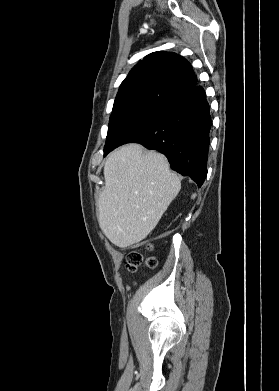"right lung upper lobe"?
I'll return each mask as SVG.
<instances>
[{
    "instance_id": "cb5924a9",
    "label": "right lung upper lobe",
    "mask_w": 279,
    "mask_h": 391,
    "mask_svg": "<svg viewBox=\"0 0 279 391\" xmlns=\"http://www.w3.org/2000/svg\"><path fill=\"white\" fill-rule=\"evenodd\" d=\"M197 85L190 63L172 52H153L120 85L113 111L136 105L163 106Z\"/></svg>"
}]
</instances>
